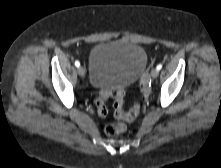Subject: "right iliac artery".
<instances>
[{
    "instance_id": "1",
    "label": "right iliac artery",
    "mask_w": 221,
    "mask_h": 168,
    "mask_svg": "<svg viewBox=\"0 0 221 168\" xmlns=\"http://www.w3.org/2000/svg\"><path fill=\"white\" fill-rule=\"evenodd\" d=\"M75 66H76V67H79V66H80V62L76 60V61H75Z\"/></svg>"
}]
</instances>
